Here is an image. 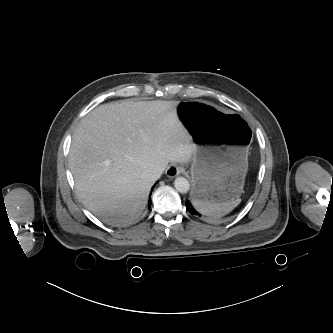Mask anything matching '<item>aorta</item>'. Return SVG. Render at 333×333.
Segmentation results:
<instances>
[{
  "instance_id": "1",
  "label": "aorta",
  "mask_w": 333,
  "mask_h": 333,
  "mask_svg": "<svg viewBox=\"0 0 333 333\" xmlns=\"http://www.w3.org/2000/svg\"><path fill=\"white\" fill-rule=\"evenodd\" d=\"M174 186L176 188L177 191H179L180 193H187L190 189V184L188 182V180L184 177H177L174 180Z\"/></svg>"
}]
</instances>
